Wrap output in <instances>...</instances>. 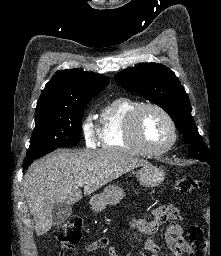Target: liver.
<instances>
[{
    "instance_id": "obj_1",
    "label": "liver",
    "mask_w": 221,
    "mask_h": 256,
    "mask_svg": "<svg viewBox=\"0 0 221 256\" xmlns=\"http://www.w3.org/2000/svg\"><path fill=\"white\" fill-rule=\"evenodd\" d=\"M149 162L116 150L76 151L60 149L35 161L27 170L22 190L35 222L37 236L53 224L56 202L73 205L82 199L78 183L85 182L84 195Z\"/></svg>"
}]
</instances>
